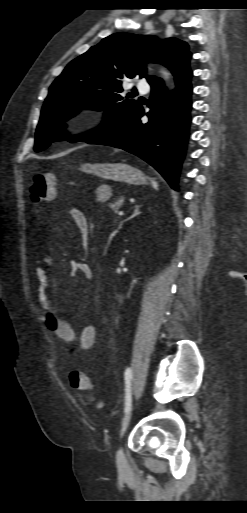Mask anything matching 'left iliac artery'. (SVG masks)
I'll return each mask as SVG.
<instances>
[{
    "label": "left iliac artery",
    "instance_id": "44dca946",
    "mask_svg": "<svg viewBox=\"0 0 247 513\" xmlns=\"http://www.w3.org/2000/svg\"><path fill=\"white\" fill-rule=\"evenodd\" d=\"M132 369L127 367L124 372L125 379V413H128L131 408L132 403V393H131V379H132Z\"/></svg>",
    "mask_w": 247,
    "mask_h": 513
}]
</instances>
